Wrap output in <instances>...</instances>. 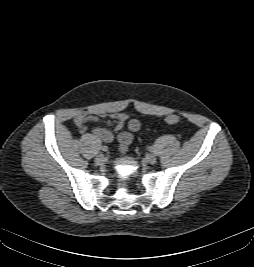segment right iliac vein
I'll return each mask as SVG.
<instances>
[{
	"label": "right iliac vein",
	"instance_id": "obj_1",
	"mask_svg": "<svg viewBox=\"0 0 254 267\" xmlns=\"http://www.w3.org/2000/svg\"><path fill=\"white\" fill-rule=\"evenodd\" d=\"M105 162V156L103 154H99L96 158H95V163L98 165H101Z\"/></svg>",
	"mask_w": 254,
	"mask_h": 267
}]
</instances>
